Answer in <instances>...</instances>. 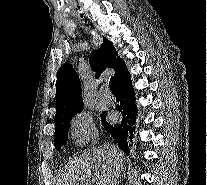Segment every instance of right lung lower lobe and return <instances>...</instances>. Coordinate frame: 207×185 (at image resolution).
Wrapping results in <instances>:
<instances>
[{
    "label": "right lung lower lobe",
    "instance_id": "98d812e1",
    "mask_svg": "<svg viewBox=\"0 0 207 185\" xmlns=\"http://www.w3.org/2000/svg\"><path fill=\"white\" fill-rule=\"evenodd\" d=\"M116 86L120 96V103L116 105V110L121 112L122 121L116 125H111L105 121L103 126L117 140L120 148L128 153L127 138H133V125L136 122L137 113L130 75L117 82Z\"/></svg>",
    "mask_w": 207,
    "mask_h": 185
}]
</instances>
